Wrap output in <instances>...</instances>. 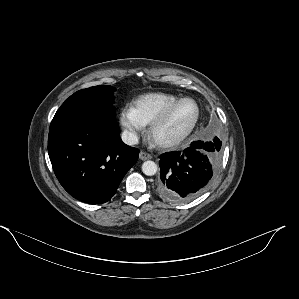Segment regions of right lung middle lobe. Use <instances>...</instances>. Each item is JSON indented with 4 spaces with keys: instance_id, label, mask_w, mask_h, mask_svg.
<instances>
[{
    "instance_id": "1",
    "label": "right lung middle lobe",
    "mask_w": 299,
    "mask_h": 299,
    "mask_svg": "<svg viewBox=\"0 0 299 299\" xmlns=\"http://www.w3.org/2000/svg\"><path fill=\"white\" fill-rule=\"evenodd\" d=\"M108 85L82 89L71 95L56 112L50 129L65 121L80 117H114L113 92Z\"/></svg>"
}]
</instances>
